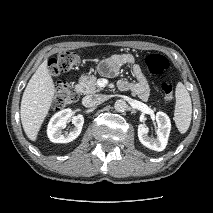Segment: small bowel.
Masks as SVG:
<instances>
[{
	"label": "small bowel",
	"mask_w": 213,
	"mask_h": 213,
	"mask_svg": "<svg viewBox=\"0 0 213 213\" xmlns=\"http://www.w3.org/2000/svg\"><path fill=\"white\" fill-rule=\"evenodd\" d=\"M122 66H130L132 68L135 81L120 80L118 87L121 90H129L138 95L141 99L147 100L150 92L147 79L141 66L131 54L113 55L100 65V70L106 76H114Z\"/></svg>",
	"instance_id": "obj_1"
}]
</instances>
